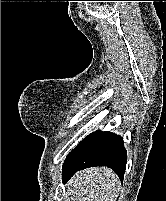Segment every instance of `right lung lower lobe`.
Returning a JSON list of instances; mask_svg holds the SVG:
<instances>
[{"instance_id": "obj_1", "label": "right lung lower lobe", "mask_w": 166, "mask_h": 201, "mask_svg": "<svg viewBox=\"0 0 166 201\" xmlns=\"http://www.w3.org/2000/svg\"><path fill=\"white\" fill-rule=\"evenodd\" d=\"M127 153L123 138L110 132L96 131L83 139L67 156L62 180L67 181L77 171L93 166H107L123 181Z\"/></svg>"}]
</instances>
